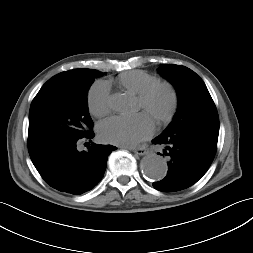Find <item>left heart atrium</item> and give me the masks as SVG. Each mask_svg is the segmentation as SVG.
I'll return each instance as SVG.
<instances>
[{"mask_svg":"<svg viewBox=\"0 0 253 253\" xmlns=\"http://www.w3.org/2000/svg\"><path fill=\"white\" fill-rule=\"evenodd\" d=\"M154 130V120L145 112L112 116L98 125V133L103 141L121 146H133L150 137Z\"/></svg>","mask_w":253,"mask_h":253,"instance_id":"1","label":"left heart atrium"}]
</instances>
